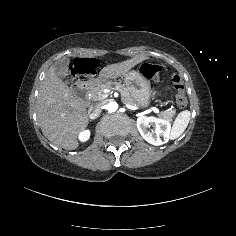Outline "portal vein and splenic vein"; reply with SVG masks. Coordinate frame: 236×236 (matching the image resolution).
Returning <instances> with one entry per match:
<instances>
[{
    "label": "portal vein and splenic vein",
    "instance_id": "18ae733b",
    "mask_svg": "<svg viewBox=\"0 0 236 236\" xmlns=\"http://www.w3.org/2000/svg\"><path fill=\"white\" fill-rule=\"evenodd\" d=\"M110 90H106V92L105 93H108ZM124 108L125 109H130L131 111H134L135 110V107L133 106V105H128V104H125L124 105ZM151 110L153 111V112H155V113H159V110H158V108H156V107H152L151 108Z\"/></svg>",
    "mask_w": 236,
    "mask_h": 236
}]
</instances>
